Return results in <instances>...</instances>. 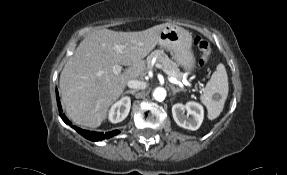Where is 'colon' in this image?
<instances>
[{
	"instance_id": "colon-1",
	"label": "colon",
	"mask_w": 287,
	"mask_h": 175,
	"mask_svg": "<svg viewBox=\"0 0 287 175\" xmlns=\"http://www.w3.org/2000/svg\"><path fill=\"white\" fill-rule=\"evenodd\" d=\"M194 46L200 51L201 57L199 60L200 66H205L211 56V47L208 41L200 36L194 38Z\"/></svg>"
}]
</instances>
